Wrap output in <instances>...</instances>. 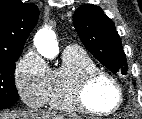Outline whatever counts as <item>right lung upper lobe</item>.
I'll return each mask as SVG.
<instances>
[{"label":"right lung upper lobe","instance_id":"right-lung-upper-lobe-1","mask_svg":"<svg viewBox=\"0 0 142 119\" xmlns=\"http://www.w3.org/2000/svg\"><path fill=\"white\" fill-rule=\"evenodd\" d=\"M39 17L38 7L20 0H0V56L21 53Z\"/></svg>","mask_w":142,"mask_h":119}]
</instances>
